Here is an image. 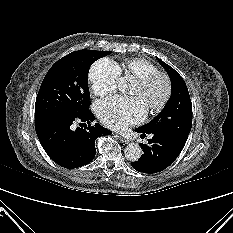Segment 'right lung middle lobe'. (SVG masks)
Wrapping results in <instances>:
<instances>
[{
	"instance_id": "right-lung-middle-lobe-1",
	"label": "right lung middle lobe",
	"mask_w": 233,
	"mask_h": 233,
	"mask_svg": "<svg viewBox=\"0 0 233 233\" xmlns=\"http://www.w3.org/2000/svg\"><path fill=\"white\" fill-rule=\"evenodd\" d=\"M109 51L78 50L59 59L47 72L35 103V120L76 116L90 105V66Z\"/></svg>"
}]
</instances>
